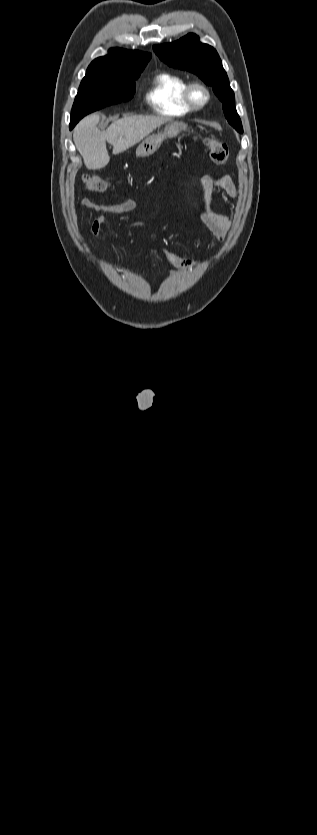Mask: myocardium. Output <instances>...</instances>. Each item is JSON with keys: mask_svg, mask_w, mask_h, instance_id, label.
I'll list each match as a JSON object with an SVG mask.
<instances>
[{"mask_svg": "<svg viewBox=\"0 0 317 835\" xmlns=\"http://www.w3.org/2000/svg\"><path fill=\"white\" fill-rule=\"evenodd\" d=\"M196 90H200L204 93V98L202 101H197L195 99L194 93ZM211 99V92L209 87L200 81H193L189 82L184 91V100L187 105L192 110H200L203 109Z\"/></svg>", "mask_w": 317, "mask_h": 835, "instance_id": "1", "label": "myocardium"}]
</instances>
